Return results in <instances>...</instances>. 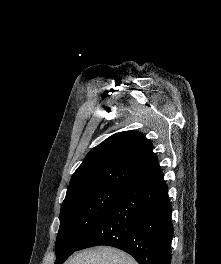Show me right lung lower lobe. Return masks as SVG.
I'll return each mask as SVG.
<instances>
[{
	"label": "right lung lower lobe",
	"mask_w": 221,
	"mask_h": 264,
	"mask_svg": "<svg viewBox=\"0 0 221 264\" xmlns=\"http://www.w3.org/2000/svg\"><path fill=\"white\" fill-rule=\"evenodd\" d=\"M163 177L158 170L126 185L76 251L108 245L129 253L139 264H171L172 207Z\"/></svg>",
	"instance_id": "obj_1"
}]
</instances>
